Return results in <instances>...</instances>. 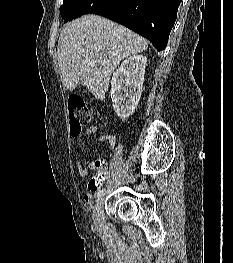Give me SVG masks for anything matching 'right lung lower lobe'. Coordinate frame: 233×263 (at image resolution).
Returning <instances> with one entry per match:
<instances>
[{"mask_svg":"<svg viewBox=\"0 0 233 263\" xmlns=\"http://www.w3.org/2000/svg\"><path fill=\"white\" fill-rule=\"evenodd\" d=\"M181 0H122L114 9L95 14L120 23L165 49Z\"/></svg>","mask_w":233,"mask_h":263,"instance_id":"obj_1","label":"right lung lower lobe"}]
</instances>
